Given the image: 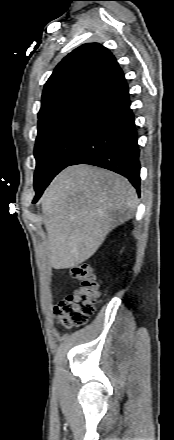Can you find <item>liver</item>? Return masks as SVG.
<instances>
[{
    "label": "liver",
    "mask_w": 174,
    "mask_h": 440,
    "mask_svg": "<svg viewBox=\"0 0 174 440\" xmlns=\"http://www.w3.org/2000/svg\"><path fill=\"white\" fill-rule=\"evenodd\" d=\"M137 205L134 187L119 174L88 165L64 169L41 197L50 265L65 269L88 260Z\"/></svg>",
    "instance_id": "liver-1"
}]
</instances>
